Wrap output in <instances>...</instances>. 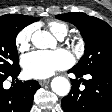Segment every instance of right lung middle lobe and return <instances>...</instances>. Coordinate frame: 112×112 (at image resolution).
I'll use <instances>...</instances> for the list:
<instances>
[{
  "label": "right lung middle lobe",
  "instance_id": "1",
  "mask_svg": "<svg viewBox=\"0 0 112 112\" xmlns=\"http://www.w3.org/2000/svg\"><path fill=\"white\" fill-rule=\"evenodd\" d=\"M29 20L25 15H3L0 18V77L10 73L18 66L16 36L27 25L38 21Z\"/></svg>",
  "mask_w": 112,
  "mask_h": 112
}]
</instances>
